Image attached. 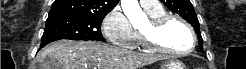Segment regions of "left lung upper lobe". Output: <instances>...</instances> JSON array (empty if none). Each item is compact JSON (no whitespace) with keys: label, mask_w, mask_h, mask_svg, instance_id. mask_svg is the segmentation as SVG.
Returning a JSON list of instances; mask_svg holds the SVG:
<instances>
[{"label":"left lung upper lobe","mask_w":246,"mask_h":69,"mask_svg":"<svg viewBox=\"0 0 246 69\" xmlns=\"http://www.w3.org/2000/svg\"><path fill=\"white\" fill-rule=\"evenodd\" d=\"M169 9L179 14L195 29L200 47H203V39L199 29V21L189 0H161Z\"/></svg>","instance_id":"1"}]
</instances>
